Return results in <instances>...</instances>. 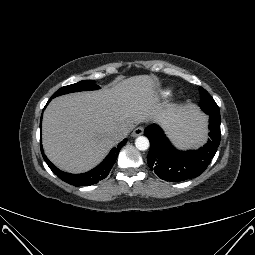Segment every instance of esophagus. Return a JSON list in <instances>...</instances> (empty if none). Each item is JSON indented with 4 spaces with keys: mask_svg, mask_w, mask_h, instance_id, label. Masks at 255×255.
Returning <instances> with one entry per match:
<instances>
[{
    "mask_svg": "<svg viewBox=\"0 0 255 255\" xmlns=\"http://www.w3.org/2000/svg\"><path fill=\"white\" fill-rule=\"evenodd\" d=\"M143 131H144L143 127H136L132 132V136L133 137L140 136L143 134Z\"/></svg>",
    "mask_w": 255,
    "mask_h": 255,
    "instance_id": "obj_1",
    "label": "esophagus"
}]
</instances>
